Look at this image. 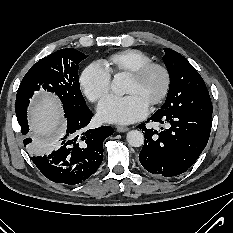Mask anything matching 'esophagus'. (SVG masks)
I'll use <instances>...</instances> for the list:
<instances>
[{"label": "esophagus", "mask_w": 233, "mask_h": 233, "mask_svg": "<svg viewBox=\"0 0 233 233\" xmlns=\"http://www.w3.org/2000/svg\"><path fill=\"white\" fill-rule=\"evenodd\" d=\"M116 130L119 133H124V132H127L129 130V128L127 126H116Z\"/></svg>", "instance_id": "esophagus-1"}]
</instances>
